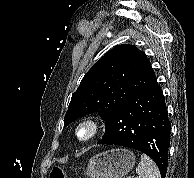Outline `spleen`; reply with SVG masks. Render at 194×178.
<instances>
[{
	"mask_svg": "<svg viewBox=\"0 0 194 178\" xmlns=\"http://www.w3.org/2000/svg\"><path fill=\"white\" fill-rule=\"evenodd\" d=\"M136 178H161L158 167L147 155H141V161L136 169Z\"/></svg>",
	"mask_w": 194,
	"mask_h": 178,
	"instance_id": "spleen-1",
	"label": "spleen"
}]
</instances>
